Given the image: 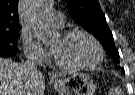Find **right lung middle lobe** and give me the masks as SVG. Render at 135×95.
Masks as SVG:
<instances>
[{
    "instance_id": "1",
    "label": "right lung middle lobe",
    "mask_w": 135,
    "mask_h": 95,
    "mask_svg": "<svg viewBox=\"0 0 135 95\" xmlns=\"http://www.w3.org/2000/svg\"><path fill=\"white\" fill-rule=\"evenodd\" d=\"M19 30L16 31H1L0 32V53L17 52V40Z\"/></svg>"
}]
</instances>
